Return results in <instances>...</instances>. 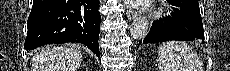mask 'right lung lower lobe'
Instances as JSON below:
<instances>
[{
  "label": "right lung lower lobe",
  "instance_id": "1",
  "mask_svg": "<svg viewBox=\"0 0 230 71\" xmlns=\"http://www.w3.org/2000/svg\"><path fill=\"white\" fill-rule=\"evenodd\" d=\"M98 8V0H33L25 49L79 42L99 57L101 17Z\"/></svg>",
  "mask_w": 230,
  "mask_h": 71
}]
</instances>
